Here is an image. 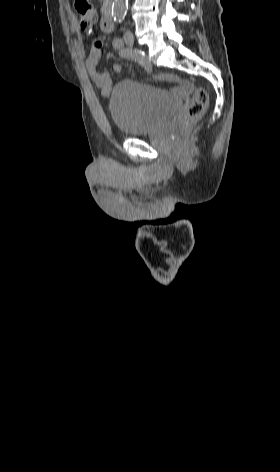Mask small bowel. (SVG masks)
Masks as SVG:
<instances>
[{"mask_svg": "<svg viewBox=\"0 0 280 472\" xmlns=\"http://www.w3.org/2000/svg\"><path fill=\"white\" fill-rule=\"evenodd\" d=\"M102 58L101 45L99 41H95L86 59L85 66L92 82L101 89L102 96L107 97L110 94L113 82L109 72L99 73L97 71V65L102 61ZM121 69L122 63L114 64V72H120ZM160 80L174 84L176 86L175 92L177 93H187L191 89L189 83L172 74H164L160 77Z\"/></svg>", "mask_w": 280, "mask_h": 472, "instance_id": "obj_1", "label": "small bowel"}]
</instances>
